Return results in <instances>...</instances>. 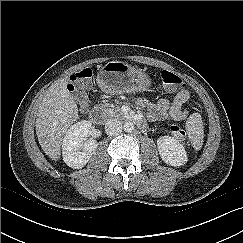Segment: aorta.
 <instances>
[{
    "instance_id": "aorta-1",
    "label": "aorta",
    "mask_w": 243,
    "mask_h": 243,
    "mask_svg": "<svg viewBox=\"0 0 243 243\" xmlns=\"http://www.w3.org/2000/svg\"><path fill=\"white\" fill-rule=\"evenodd\" d=\"M123 129L127 133H131L134 130V124L130 121L124 123Z\"/></svg>"
}]
</instances>
